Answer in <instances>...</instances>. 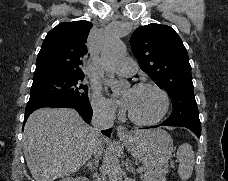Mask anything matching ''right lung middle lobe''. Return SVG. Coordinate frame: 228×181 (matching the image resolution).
<instances>
[{"mask_svg":"<svg viewBox=\"0 0 228 181\" xmlns=\"http://www.w3.org/2000/svg\"><path fill=\"white\" fill-rule=\"evenodd\" d=\"M83 77L54 74L33 78L29 102L62 100L79 106H89L88 87L80 82Z\"/></svg>","mask_w":228,"mask_h":181,"instance_id":"right-lung-middle-lobe-1","label":"right lung middle lobe"}]
</instances>
